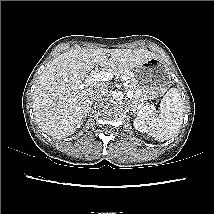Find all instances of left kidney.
Listing matches in <instances>:
<instances>
[{
  "label": "left kidney",
  "mask_w": 214,
  "mask_h": 214,
  "mask_svg": "<svg viewBox=\"0 0 214 214\" xmlns=\"http://www.w3.org/2000/svg\"><path fill=\"white\" fill-rule=\"evenodd\" d=\"M134 127L135 129H137L140 132H145L146 131V126H145V122L142 118L137 117L134 120Z\"/></svg>",
  "instance_id": "5707ae66"
}]
</instances>
